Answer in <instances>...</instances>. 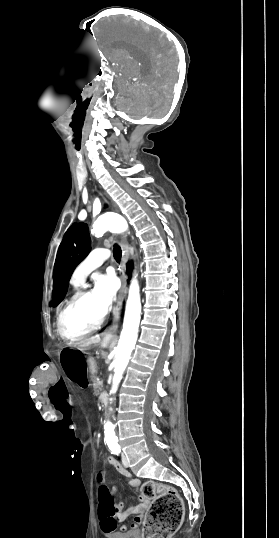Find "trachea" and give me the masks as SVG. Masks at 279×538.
<instances>
[{"mask_svg": "<svg viewBox=\"0 0 279 538\" xmlns=\"http://www.w3.org/2000/svg\"><path fill=\"white\" fill-rule=\"evenodd\" d=\"M113 256L116 261H120L121 256H122V250L118 245H115L113 248Z\"/></svg>", "mask_w": 279, "mask_h": 538, "instance_id": "trachea-1", "label": "trachea"}]
</instances>
